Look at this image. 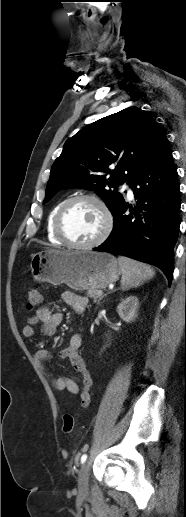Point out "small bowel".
<instances>
[{
	"instance_id": "1",
	"label": "small bowel",
	"mask_w": 186,
	"mask_h": 517,
	"mask_svg": "<svg viewBox=\"0 0 186 517\" xmlns=\"http://www.w3.org/2000/svg\"><path fill=\"white\" fill-rule=\"evenodd\" d=\"M61 299L66 304L72 306L77 312L84 311L88 305V299L86 297L69 291L63 292ZM62 320L63 315L61 313L52 311L48 306H43L28 317L26 324L22 328V334L27 338L34 337L35 330L39 326L44 336H54ZM82 342L83 338L80 334H73L68 345L57 354V357L61 359L68 358L70 360L73 368L79 373V379L73 377H53L46 369V363L54 356L46 349L37 350L34 354V358L42 367L51 386L56 391L67 392L71 395L79 394L80 406L87 407L91 402L92 377L85 361L79 354Z\"/></svg>"
}]
</instances>
